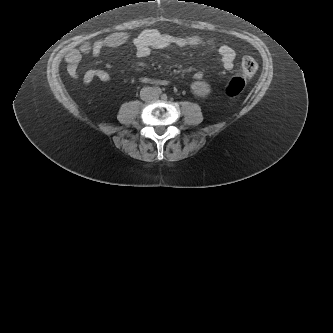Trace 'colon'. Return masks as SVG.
I'll use <instances>...</instances> for the list:
<instances>
[{"mask_svg": "<svg viewBox=\"0 0 333 333\" xmlns=\"http://www.w3.org/2000/svg\"><path fill=\"white\" fill-rule=\"evenodd\" d=\"M257 70V63L252 57L242 59L239 72L228 82L225 93L229 97L238 96L245 88L246 82Z\"/></svg>", "mask_w": 333, "mask_h": 333, "instance_id": "obj_1", "label": "colon"}]
</instances>
